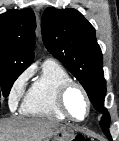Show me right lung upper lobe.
Here are the masks:
<instances>
[{"mask_svg":"<svg viewBox=\"0 0 119 141\" xmlns=\"http://www.w3.org/2000/svg\"><path fill=\"white\" fill-rule=\"evenodd\" d=\"M36 20L31 9L0 15V71H21L34 58Z\"/></svg>","mask_w":119,"mask_h":141,"instance_id":"obj_1","label":"right lung upper lobe"}]
</instances>
